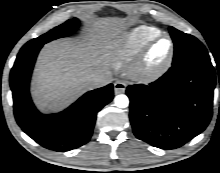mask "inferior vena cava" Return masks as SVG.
<instances>
[{
  "label": "inferior vena cava",
  "instance_id": "1",
  "mask_svg": "<svg viewBox=\"0 0 220 173\" xmlns=\"http://www.w3.org/2000/svg\"><path fill=\"white\" fill-rule=\"evenodd\" d=\"M113 81L112 74L109 71H104L100 75L93 77L90 80L91 89L99 88L108 85Z\"/></svg>",
  "mask_w": 220,
  "mask_h": 173
}]
</instances>
